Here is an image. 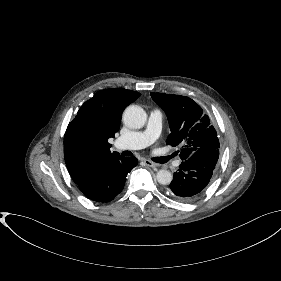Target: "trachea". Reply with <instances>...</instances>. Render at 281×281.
<instances>
[{
	"instance_id": "3493384b",
	"label": "trachea",
	"mask_w": 281,
	"mask_h": 281,
	"mask_svg": "<svg viewBox=\"0 0 281 281\" xmlns=\"http://www.w3.org/2000/svg\"><path fill=\"white\" fill-rule=\"evenodd\" d=\"M122 154L124 156H131L132 155V153L130 151H124Z\"/></svg>"
}]
</instances>
